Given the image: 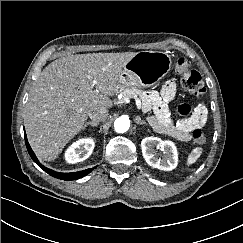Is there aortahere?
Here are the masks:
<instances>
[{"instance_id": "aorta-1", "label": "aorta", "mask_w": 243, "mask_h": 243, "mask_svg": "<svg viewBox=\"0 0 243 243\" xmlns=\"http://www.w3.org/2000/svg\"><path fill=\"white\" fill-rule=\"evenodd\" d=\"M130 127V120L126 116L117 118L114 122V129L117 133H125Z\"/></svg>"}]
</instances>
